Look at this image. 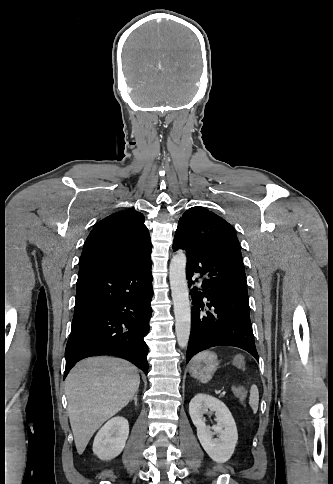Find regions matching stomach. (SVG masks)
Returning <instances> with one entry per match:
<instances>
[{"mask_svg": "<svg viewBox=\"0 0 333 484\" xmlns=\"http://www.w3.org/2000/svg\"><path fill=\"white\" fill-rule=\"evenodd\" d=\"M218 367L217 355L210 351H203L191 360L189 372L192 377L206 383L212 378Z\"/></svg>", "mask_w": 333, "mask_h": 484, "instance_id": "stomach-1", "label": "stomach"}]
</instances>
